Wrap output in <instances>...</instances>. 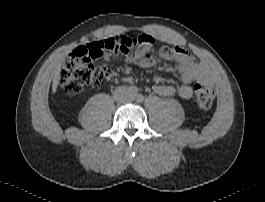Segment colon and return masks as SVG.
Segmentation results:
<instances>
[{
  "label": "colon",
  "mask_w": 265,
  "mask_h": 202,
  "mask_svg": "<svg viewBox=\"0 0 265 202\" xmlns=\"http://www.w3.org/2000/svg\"><path fill=\"white\" fill-rule=\"evenodd\" d=\"M147 35L127 37L115 35L104 37L90 44L91 55L71 54L64 62L59 73L62 88L71 94H77L85 86L98 85L116 78V70L112 67L96 66L92 58L101 53L126 54L135 49H144L147 54L152 52V44H146ZM194 93L197 104L202 109L210 108L215 101V89L209 85L196 84Z\"/></svg>",
  "instance_id": "obj_1"
}]
</instances>
